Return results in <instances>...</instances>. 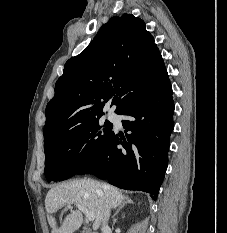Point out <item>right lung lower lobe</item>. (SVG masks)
Instances as JSON below:
<instances>
[{
  "mask_svg": "<svg viewBox=\"0 0 227 233\" xmlns=\"http://www.w3.org/2000/svg\"><path fill=\"white\" fill-rule=\"evenodd\" d=\"M174 104L169 79L124 109L126 136L112 132L98 156L77 174H93L127 190H140L157 199L168 165ZM121 146V147H118Z\"/></svg>",
  "mask_w": 227,
  "mask_h": 233,
  "instance_id": "right-lung-lower-lobe-1",
  "label": "right lung lower lobe"
}]
</instances>
